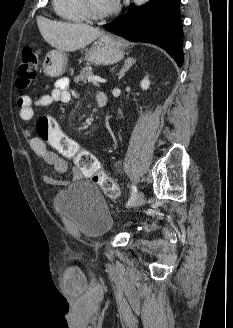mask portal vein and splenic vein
Returning <instances> with one entry per match:
<instances>
[{"mask_svg":"<svg viewBox=\"0 0 233 328\" xmlns=\"http://www.w3.org/2000/svg\"><path fill=\"white\" fill-rule=\"evenodd\" d=\"M89 81L93 82V83H105L106 80L101 78V77H98V76H93V77H90L88 78Z\"/></svg>","mask_w":233,"mask_h":328,"instance_id":"portal-vein-and-splenic-vein-1","label":"portal vein and splenic vein"}]
</instances>
